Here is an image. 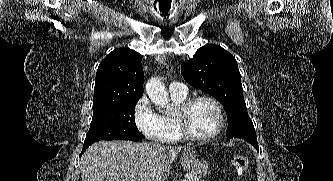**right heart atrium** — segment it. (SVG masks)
<instances>
[{
	"label": "right heart atrium",
	"instance_id": "right-heart-atrium-1",
	"mask_svg": "<svg viewBox=\"0 0 333 181\" xmlns=\"http://www.w3.org/2000/svg\"><path fill=\"white\" fill-rule=\"evenodd\" d=\"M133 119L137 129L148 139L162 141L169 134L168 123L154 110L146 96L135 103Z\"/></svg>",
	"mask_w": 333,
	"mask_h": 181
}]
</instances>
